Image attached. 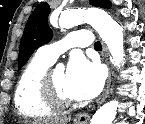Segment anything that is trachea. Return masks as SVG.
I'll use <instances>...</instances> for the list:
<instances>
[{
	"label": "trachea",
	"mask_w": 145,
	"mask_h": 124,
	"mask_svg": "<svg viewBox=\"0 0 145 124\" xmlns=\"http://www.w3.org/2000/svg\"><path fill=\"white\" fill-rule=\"evenodd\" d=\"M94 48L95 49H102L101 43L99 41L95 42Z\"/></svg>",
	"instance_id": "trachea-1"
}]
</instances>
